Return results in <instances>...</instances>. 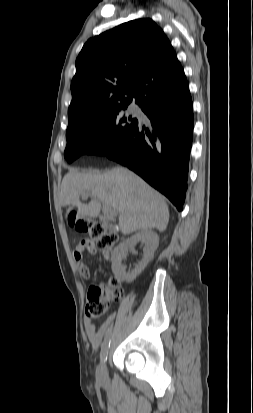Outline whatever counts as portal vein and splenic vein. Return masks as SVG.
I'll return each instance as SVG.
<instances>
[{
  "label": "portal vein and splenic vein",
  "instance_id": "1",
  "mask_svg": "<svg viewBox=\"0 0 253 413\" xmlns=\"http://www.w3.org/2000/svg\"><path fill=\"white\" fill-rule=\"evenodd\" d=\"M88 196H89V193L83 194V198H86ZM102 211L104 215L108 218H113L116 215V212L107 205L103 206Z\"/></svg>",
  "mask_w": 253,
  "mask_h": 413
}]
</instances>
